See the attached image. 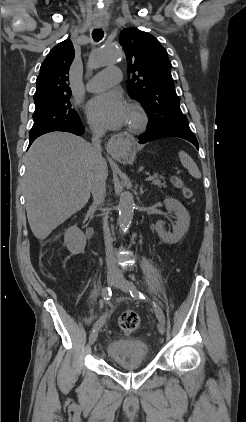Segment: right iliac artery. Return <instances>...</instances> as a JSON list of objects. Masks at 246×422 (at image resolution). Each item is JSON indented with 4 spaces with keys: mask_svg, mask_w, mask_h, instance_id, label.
<instances>
[{
    "mask_svg": "<svg viewBox=\"0 0 246 422\" xmlns=\"http://www.w3.org/2000/svg\"><path fill=\"white\" fill-rule=\"evenodd\" d=\"M111 295H112V291H111V289L108 287V288H105L104 290H103V298H104V301L106 302V303H108V301L110 300V298H111ZM105 319H106V313H104L97 321H96V323L94 324V326H93V331L96 329V328H100L104 323H105Z\"/></svg>",
    "mask_w": 246,
    "mask_h": 422,
    "instance_id": "82829eb1",
    "label": "right iliac artery"
}]
</instances>
